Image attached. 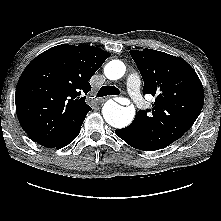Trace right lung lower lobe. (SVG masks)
I'll return each mask as SVG.
<instances>
[{"label":"right lung lower lobe","mask_w":221,"mask_h":221,"mask_svg":"<svg viewBox=\"0 0 221 221\" xmlns=\"http://www.w3.org/2000/svg\"><path fill=\"white\" fill-rule=\"evenodd\" d=\"M79 132H80V130H79L75 135H73L69 140H67V141L64 142L63 144L57 146V148L66 146V145H68L69 143H71V141H73V140L78 136Z\"/></svg>","instance_id":"98d812e1"}]
</instances>
